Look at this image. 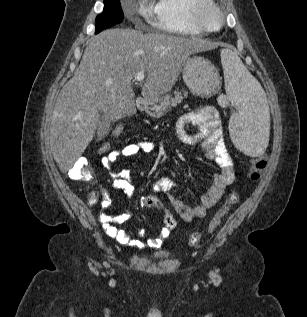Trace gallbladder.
<instances>
[{"label":"gallbladder","mask_w":307,"mask_h":317,"mask_svg":"<svg viewBox=\"0 0 307 317\" xmlns=\"http://www.w3.org/2000/svg\"><path fill=\"white\" fill-rule=\"evenodd\" d=\"M111 121L107 118L104 112L99 113V122L97 136L99 139H102L110 130Z\"/></svg>","instance_id":"1"}]
</instances>
